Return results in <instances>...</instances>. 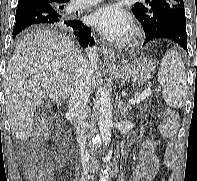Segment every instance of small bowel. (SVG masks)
<instances>
[{
    "instance_id": "c3829d8e",
    "label": "small bowel",
    "mask_w": 197,
    "mask_h": 181,
    "mask_svg": "<svg viewBox=\"0 0 197 181\" xmlns=\"http://www.w3.org/2000/svg\"><path fill=\"white\" fill-rule=\"evenodd\" d=\"M160 142L146 140L139 151V160L133 175L134 181H152L158 168V159L155 149Z\"/></svg>"
}]
</instances>
